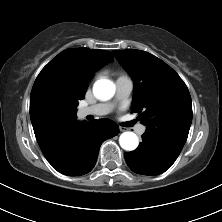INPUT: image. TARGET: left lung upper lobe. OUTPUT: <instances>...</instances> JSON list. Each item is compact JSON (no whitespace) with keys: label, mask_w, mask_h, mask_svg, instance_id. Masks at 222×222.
<instances>
[{"label":"left lung upper lobe","mask_w":222,"mask_h":222,"mask_svg":"<svg viewBox=\"0 0 222 222\" xmlns=\"http://www.w3.org/2000/svg\"><path fill=\"white\" fill-rule=\"evenodd\" d=\"M112 53L134 80L132 112L140 113L146 131L170 135L173 127H180L185 138L170 141L182 150L192 122L191 96L183 80L148 52L129 49Z\"/></svg>","instance_id":"5c2ea615"}]
</instances>
